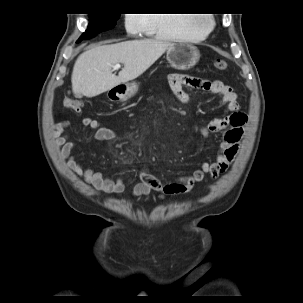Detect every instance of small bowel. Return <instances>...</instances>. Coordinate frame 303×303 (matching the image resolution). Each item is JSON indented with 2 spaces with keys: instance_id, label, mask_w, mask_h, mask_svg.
I'll use <instances>...</instances> for the list:
<instances>
[{
  "instance_id": "1",
  "label": "small bowel",
  "mask_w": 303,
  "mask_h": 303,
  "mask_svg": "<svg viewBox=\"0 0 303 303\" xmlns=\"http://www.w3.org/2000/svg\"><path fill=\"white\" fill-rule=\"evenodd\" d=\"M169 86L179 102L188 104L191 102L190 95L184 87L196 90H206L216 95L220 102L225 105L229 117H215L206 124L196 127V131L207 137L210 133L225 131L219 143L218 154L215 160L203 162L201 168L192 174L183 175L173 182L163 183L154 175L145 171L140 173L141 182L133 190L134 196H146L153 191L158 192L162 197L181 195L189 192L193 186L202 181L205 174L217 178L223 174L234 160L239 150V144L243 137L246 117L240 113V105L237 101V94L233 88L221 81L208 82L194 76L183 73H172L168 76ZM81 124L95 131L94 138L97 141H115L118 135L112 129L103 125L100 121L89 117L83 118ZM71 127L70 120L59 122L52 131L54 145L60 153L67 166L76 175L82 177L95 191L107 194L121 195L125 190L122 178L112 179L90 167H83L75 158L74 151L76 144L69 141V135L65 130Z\"/></svg>"
}]
</instances>
